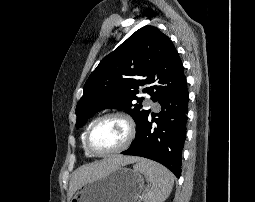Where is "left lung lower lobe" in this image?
I'll return each instance as SVG.
<instances>
[{"label": "left lung lower lobe", "mask_w": 255, "mask_h": 202, "mask_svg": "<svg viewBox=\"0 0 255 202\" xmlns=\"http://www.w3.org/2000/svg\"><path fill=\"white\" fill-rule=\"evenodd\" d=\"M188 96L185 77L174 89L161 96L157 101L161 111L157 114L152 113L151 118L149 114L147 115L136 133L134 142L122 154L157 161L179 178L186 136Z\"/></svg>", "instance_id": "obj_1"}]
</instances>
